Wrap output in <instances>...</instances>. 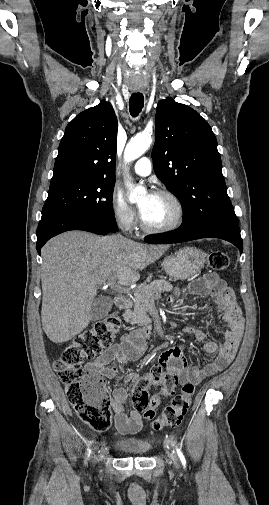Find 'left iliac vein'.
Segmentation results:
<instances>
[{
  "label": "left iliac vein",
  "instance_id": "left-iliac-vein-1",
  "mask_svg": "<svg viewBox=\"0 0 269 505\" xmlns=\"http://www.w3.org/2000/svg\"><path fill=\"white\" fill-rule=\"evenodd\" d=\"M171 458H172V460H173V463H174L175 467H176V468H177V467H179V460H178V457H177L175 454H173V455H171Z\"/></svg>",
  "mask_w": 269,
  "mask_h": 505
}]
</instances>
